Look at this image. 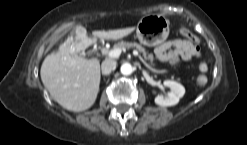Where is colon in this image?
Wrapping results in <instances>:
<instances>
[{
    "instance_id": "obj_1",
    "label": "colon",
    "mask_w": 247,
    "mask_h": 145,
    "mask_svg": "<svg viewBox=\"0 0 247 145\" xmlns=\"http://www.w3.org/2000/svg\"><path fill=\"white\" fill-rule=\"evenodd\" d=\"M181 33L190 39H194L195 35L186 29H182ZM199 71L202 73L196 78V85L199 87H204L207 84V77L204 75L208 71V64L206 62H201L199 64Z\"/></svg>"
}]
</instances>
